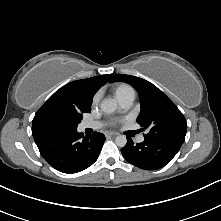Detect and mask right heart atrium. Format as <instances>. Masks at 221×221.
Segmentation results:
<instances>
[{"instance_id": "right-heart-atrium-1", "label": "right heart atrium", "mask_w": 221, "mask_h": 221, "mask_svg": "<svg viewBox=\"0 0 221 221\" xmlns=\"http://www.w3.org/2000/svg\"><path fill=\"white\" fill-rule=\"evenodd\" d=\"M98 100H99V93H96V94L93 96V98H92L93 104L97 103Z\"/></svg>"}]
</instances>
